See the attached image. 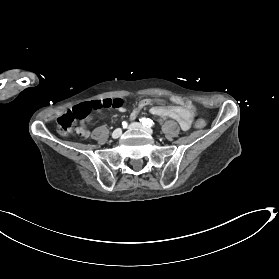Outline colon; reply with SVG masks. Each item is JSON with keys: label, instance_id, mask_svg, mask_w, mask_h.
<instances>
[{"label": "colon", "instance_id": "1", "mask_svg": "<svg viewBox=\"0 0 279 279\" xmlns=\"http://www.w3.org/2000/svg\"><path fill=\"white\" fill-rule=\"evenodd\" d=\"M180 103L191 114H195L198 111L197 104L186 97H178ZM123 105L121 98H105L100 100H94L91 102H84L74 106L71 110L65 112L57 119L58 130L63 135L72 134L77 129V122L84 119L91 110L101 108H118ZM195 126L199 129L206 126V121L203 118H198L195 122Z\"/></svg>", "mask_w": 279, "mask_h": 279}]
</instances>
